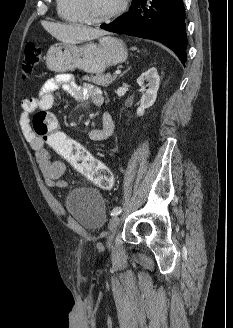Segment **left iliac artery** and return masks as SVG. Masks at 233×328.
<instances>
[{
	"label": "left iliac artery",
	"mask_w": 233,
	"mask_h": 328,
	"mask_svg": "<svg viewBox=\"0 0 233 328\" xmlns=\"http://www.w3.org/2000/svg\"><path fill=\"white\" fill-rule=\"evenodd\" d=\"M121 211H122V208H121V207H115V208L112 210L111 215H112V216H117V215H119V214L121 213Z\"/></svg>",
	"instance_id": "1"
}]
</instances>
